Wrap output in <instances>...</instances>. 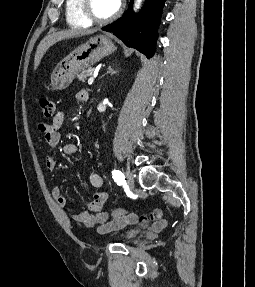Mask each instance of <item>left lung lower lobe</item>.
Here are the masks:
<instances>
[{"label": "left lung lower lobe", "instance_id": "0a47b994", "mask_svg": "<svg viewBox=\"0 0 255 287\" xmlns=\"http://www.w3.org/2000/svg\"><path fill=\"white\" fill-rule=\"evenodd\" d=\"M166 0H146L142 12L138 16H132V2L128 11L117 21L102 29L112 32L128 47L135 48L148 58L155 52L157 29L164 2Z\"/></svg>", "mask_w": 255, "mask_h": 287}]
</instances>
